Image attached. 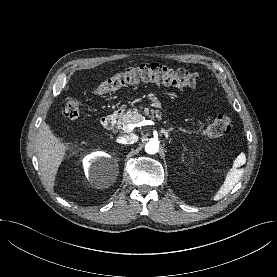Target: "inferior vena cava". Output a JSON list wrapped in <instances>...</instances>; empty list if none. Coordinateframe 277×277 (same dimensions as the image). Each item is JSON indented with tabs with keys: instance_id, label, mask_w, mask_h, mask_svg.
I'll return each instance as SVG.
<instances>
[{
	"instance_id": "inferior-vena-cava-1",
	"label": "inferior vena cava",
	"mask_w": 277,
	"mask_h": 277,
	"mask_svg": "<svg viewBox=\"0 0 277 277\" xmlns=\"http://www.w3.org/2000/svg\"><path fill=\"white\" fill-rule=\"evenodd\" d=\"M117 141L121 144H134L138 141V136L136 134L130 133L128 135L118 137Z\"/></svg>"
}]
</instances>
